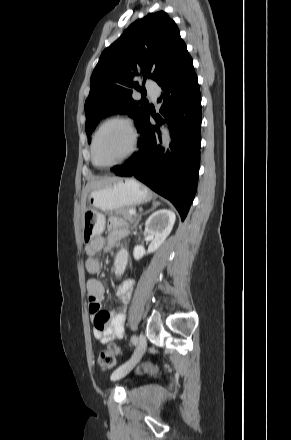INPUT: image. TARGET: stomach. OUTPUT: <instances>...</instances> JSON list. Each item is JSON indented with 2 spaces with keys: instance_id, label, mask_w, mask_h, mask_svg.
<instances>
[{
  "instance_id": "stomach-1",
  "label": "stomach",
  "mask_w": 291,
  "mask_h": 440,
  "mask_svg": "<svg viewBox=\"0 0 291 440\" xmlns=\"http://www.w3.org/2000/svg\"><path fill=\"white\" fill-rule=\"evenodd\" d=\"M86 199L88 206L82 217V236L87 242L104 230L105 218L101 212L145 203L150 194L134 179H117L106 186L91 189Z\"/></svg>"
}]
</instances>
